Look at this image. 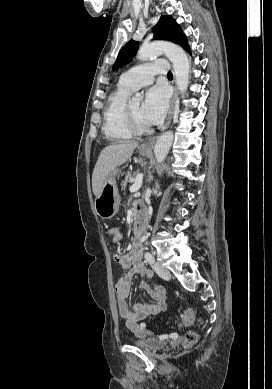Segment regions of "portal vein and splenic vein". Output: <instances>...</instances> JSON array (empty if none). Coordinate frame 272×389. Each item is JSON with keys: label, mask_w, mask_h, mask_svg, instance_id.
Wrapping results in <instances>:
<instances>
[{"label": "portal vein and splenic vein", "mask_w": 272, "mask_h": 389, "mask_svg": "<svg viewBox=\"0 0 272 389\" xmlns=\"http://www.w3.org/2000/svg\"><path fill=\"white\" fill-rule=\"evenodd\" d=\"M142 180L143 174H138L134 181V184L129 188L130 192H137L142 185Z\"/></svg>", "instance_id": "obj_1"}]
</instances>
